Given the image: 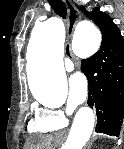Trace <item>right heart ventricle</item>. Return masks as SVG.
<instances>
[{
  "label": "right heart ventricle",
  "instance_id": "e07e8e85",
  "mask_svg": "<svg viewBox=\"0 0 124 149\" xmlns=\"http://www.w3.org/2000/svg\"><path fill=\"white\" fill-rule=\"evenodd\" d=\"M28 129L36 134H49L59 129V127L54 126L46 119L36 117L31 120Z\"/></svg>",
  "mask_w": 124,
  "mask_h": 149
}]
</instances>
